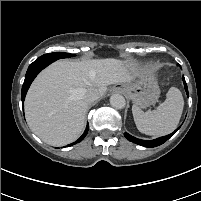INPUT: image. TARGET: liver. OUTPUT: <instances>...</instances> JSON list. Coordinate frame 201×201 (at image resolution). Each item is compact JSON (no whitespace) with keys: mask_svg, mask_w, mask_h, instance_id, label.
I'll return each instance as SVG.
<instances>
[{"mask_svg":"<svg viewBox=\"0 0 201 201\" xmlns=\"http://www.w3.org/2000/svg\"><path fill=\"white\" fill-rule=\"evenodd\" d=\"M142 72L132 62L114 58L56 61L30 86L24 104L26 121L45 143L69 144L85 126L86 89L94 88L102 96L107 86L131 82Z\"/></svg>","mask_w":201,"mask_h":201,"instance_id":"6515ba94","label":"liver"}]
</instances>
